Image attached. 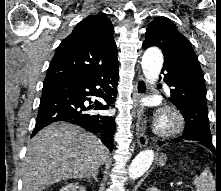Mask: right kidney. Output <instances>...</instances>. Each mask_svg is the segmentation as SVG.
<instances>
[{
    "mask_svg": "<svg viewBox=\"0 0 221 191\" xmlns=\"http://www.w3.org/2000/svg\"><path fill=\"white\" fill-rule=\"evenodd\" d=\"M59 191H86V189L83 186H79L77 183H69L63 186Z\"/></svg>",
    "mask_w": 221,
    "mask_h": 191,
    "instance_id": "1",
    "label": "right kidney"
}]
</instances>
